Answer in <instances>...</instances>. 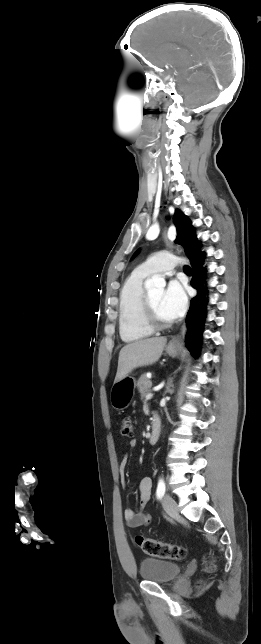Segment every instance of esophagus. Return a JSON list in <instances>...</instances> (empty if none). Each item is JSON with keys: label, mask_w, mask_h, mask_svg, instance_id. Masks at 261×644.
Returning <instances> with one entry per match:
<instances>
[{"label": "esophagus", "mask_w": 261, "mask_h": 644, "mask_svg": "<svg viewBox=\"0 0 261 644\" xmlns=\"http://www.w3.org/2000/svg\"><path fill=\"white\" fill-rule=\"evenodd\" d=\"M164 238H166V233H164ZM186 330H187V326L184 323L182 328H181L180 333L175 338H173L171 344H173V345L180 344L184 339V336L186 334Z\"/></svg>", "instance_id": "esophagus-1"}]
</instances>
